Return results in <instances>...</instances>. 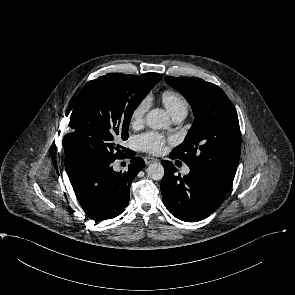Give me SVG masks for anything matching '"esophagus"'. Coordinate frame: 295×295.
<instances>
[{
    "label": "esophagus",
    "mask_w": 295,
    "mask_h": 295,
    "mask_svg": "<svg viewBox=\"0 0 295 295\" xmlns=\"http://www.w3.org/2000/svg\"><path fill=\"white\" fill-rule=\"evenodd\" d=\"M144 161H145V163H146L147 165H149V164H151V163L156 162L157 159L148 156V157H145V158H144Z\"/></svg>",
    "instance_id": "1"
}]
</instances>
